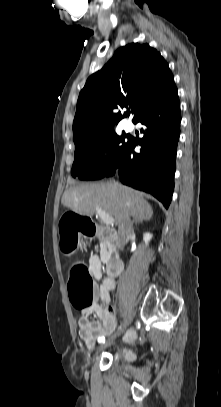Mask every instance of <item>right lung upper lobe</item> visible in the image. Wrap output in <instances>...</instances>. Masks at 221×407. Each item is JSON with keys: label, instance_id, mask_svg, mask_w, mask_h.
Returning a JSON list of instances; mask_svg holds the SVG:
<instances>
[{"label": "right lung upper lobe", "instance_id": "obj_1", "mask_svg": "<svg viewBox=\"0 0 221 407\" xmlns=\"http://www.w3.org/2000/svg\"><path fill=\"white\" fill-rule=\"evenodd\" d=\"M174 77L156 49L131 43L119 48L112 59L91 75L79 94L73 121L74 143L113 129L112 109L132 107L133 121L161 100L173 87Z\"/></svg>", "mask_w": 221, "mask_h": 407}]
</instances>
